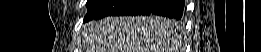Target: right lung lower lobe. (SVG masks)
Wrapping results in <instances>:
<instances>
[{
	"label": "right lung lower lobe",
	"instance_id": "98d812e1",
	"mask_svg": "<svg viewBox=\"0 0 261 52\" xmlns=\"http://www.w3.org/2000/svg\"><path fill=\"white\" fill-rule=\"evenodd\" d=\"M184 0H106L89 11L85 21L110 15H160L181 19Z\"/></svg>",
	"mask_w": 261,
	"mask_h": 52
}]
</instances>
